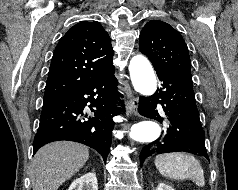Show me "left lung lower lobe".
<instances>
[{
	"instance_id": "1",
	"label": "left lung lower lobe",
	"mask_w": 238,
	"mask_h": 190,
	"mask_svg": "<svg viewBox=\"0 0 238 190\" xmlns=\"http://www.w3.org/2000/svg\"><path fill=\"white\" fill-rule=\"evenodd\" d=\"M162 87L155 96L139 98L138 112L144 117L167 122V129L140 153V164L152 154L184 151L208 158L205 134L199 119L192 78L156 70Z\"/></svg>"
}]
</instances>
